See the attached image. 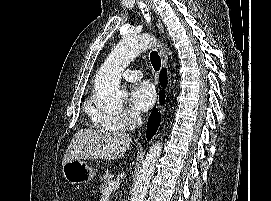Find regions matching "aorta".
<instances>
[{
  "label": "aorta",
  "mask_w": 271,
  "mask_h": 201,
  "mask_svg": "<svg viewBox=\"0 0 271 201\" xmlns=\"http://www.w3.org/2000/svg\"><path fill=\"white\" fill-rule=\"evenodd\" d=\"M156 42L157 40L149 34H126L122 38L95 82V101L99 107H119L123 104L126 93L120 88L121 73L142 51ZM161 150L162 142L159 141L150 147L136 177L131 201H144Z\"/></svg>",
  "instance_id": "aorta-1"
}]
</instances>
